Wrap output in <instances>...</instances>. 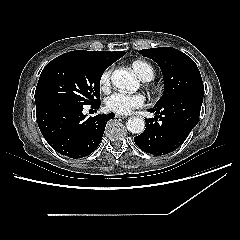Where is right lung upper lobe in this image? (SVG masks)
Returning a JSON list of instances; mask_svg holds the SVG:
<instances>
[{
    "label": "right lung upper lobe",
    "instance_id": "cb5924a9",
    "mask_svg": "<svg viewBox=\"0 0 240 240\" xmlns=\"http://www.w3.org/2000/svg\"><path fill=\"white\" fill-rule=\"evenodd\" d=\"M75 51H80L82 53H85L87 55L93 56L96 59H98L100 62L103 64L110 66L112 63L120 59L123 55H125V52L123 51H84V50H75Z\"/></svg>",
    "mask_w": 240,
    "mask_h": 240
}]
</instances>
